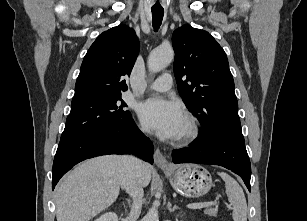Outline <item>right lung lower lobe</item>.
I'll return each instance as SVG.
<instances>
[{
    "label": "right lung lower lobe",
    "instance_id": "right-lung-lower-lobe-1",
    "mask_svg": "<svg viewBox=\"0 0 307 221\" xmlns=\"http://www.w3.org/2000/svg\"><path fill=\"white\" fill-rule=\"evenodd\" d=\"M133 153L153 163V144L132 117L122 123L60 140L52 168V189L77 163L106 154Z\"/></svg>",
    "mask_w": 307,
    "mask_h": 221
}]
</instances>
